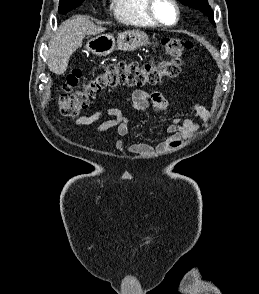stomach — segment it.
<instances>
[{"label": "stomach", "mask_w": 259, "mask_h": 294, "mask_svg": "<svg viewBox=\"0 0 259 294\" xmlns=\"http://www.w3.org/2000/svg\"><path fill=\"white\" fill-rule=\"evenodd\" d=\"M148 44L149 38L144 32L132 30L120 33L116 41L112 34H97L87 42L86 48L94 55L105 56L115 49L134 51Z\"/></svg>", "instance_id": "stomach-1"}]
</instances>
